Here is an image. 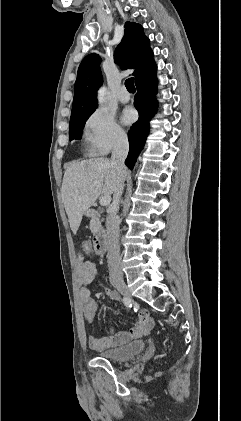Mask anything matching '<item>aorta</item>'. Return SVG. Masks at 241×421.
<instances>
[{"mask_svg":"<svg viewBox=\"0 0 241 421\" xmlns=\"http://www.w3.org/2000/svg\"><path fill=\"white\" fill-rule=\"evenodd\" d=\"M105 94H106L105 88H101L98 92V100H99L100 105H103V103L105 102Z\"/></svg>","mask_w":241,"mask_h":421,"instance_id":"762f6f07","label":"aorta"}]
</instances>
